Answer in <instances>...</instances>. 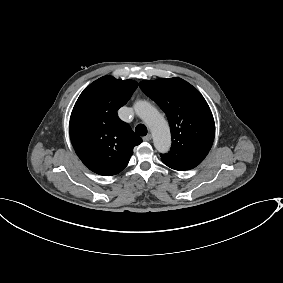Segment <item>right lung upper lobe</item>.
I'll return each mask as SVG.
<instances>
[{
	"instance_id": "cb5924a9",
	"label": "right lung upper lobe",
	"mask_w": 283,
	"mask_h": 283,
	"mask_svg": "<svg viewBox=\"0 0 283 283\" xmlns=\"http://www.w3.org/2000/svg\"><path fill=\"white\" fill-rule=\"evenodd\" d=\"M138 83L103 76L79 96L70 118V138L78 157L91 171L111 176L122 171L142 142L117 111Z\"/></svg>"
}]
</instances>
